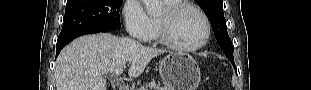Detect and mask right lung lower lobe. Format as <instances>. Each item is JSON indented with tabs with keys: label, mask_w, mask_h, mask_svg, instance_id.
I'll use <instances>...</instances> for the list:
<instances>
[{
	"label": "right lung lower lobe",
	"mask_w": 311,
	"mask_h": 90,
	"mask_svg": "<svg viewBox=\"0 0 311 90\" xmlns=\"http://www.w3.org/2000/svg\"><path fill=\"white\" fill-rule=\"evenodd\" d=\"M110 30H88V31H82L80 33H77L73 36H70L64 40H61V41H57V44H56V57L59 55L61 49L67 45L69 42H71L73 39H75L76 37H79L81 35H85V34H93V33H98V32H108Z\"/></svg>",
	"instance_id": "1"
}]
</instances>
